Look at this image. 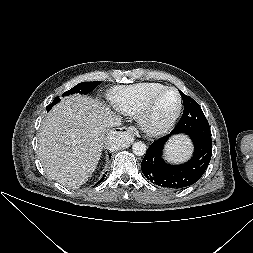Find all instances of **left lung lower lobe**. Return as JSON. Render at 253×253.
<instances>
[{"label": "left lung lower lobe", "mask_w": 253, "mask_h": 253, "mask_svg": "<svg viewBox=\"0 0 253 253\" xmlns=\"http://www.w3.org/2000/svg\"><path fill=\"white\" fill-rule=\"evenodd\" d=\"M178 134L174 130L170 135L155 140L141 163L144 176L152 183L166 188L181 189L197 182L207 169L212 156V140L198 134H188L194 144L193 157L181 165L167 164L163 158V148L171 135Z\"/></svg>", "instance_id": "1"}]
</instances>
